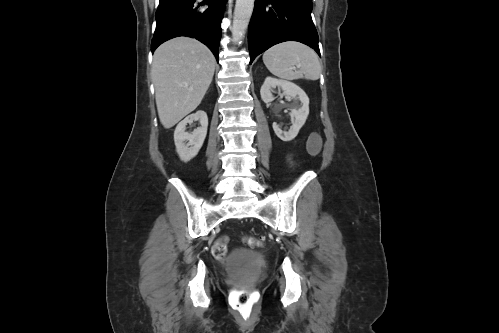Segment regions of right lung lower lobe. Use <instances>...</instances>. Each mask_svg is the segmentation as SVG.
Wrapping results in <instances>:
<instances>
[{
    "label": "right lung lower lobe",
    "mask_w": 499,
    "mask_h": 333,
    "mask_svg": "<svg viewBox=\"0 0 499 333\" xmlns=\"http://www.w3.org/2000/svg\"><path fill=\"white\" fill-rule=\"evenodd\" d=\"M226 0H159L152 53L163 42L178 36L201 41L218 61L221 20Z\"/></svg>",
    "instance_id": "1"
}]
</instances>
